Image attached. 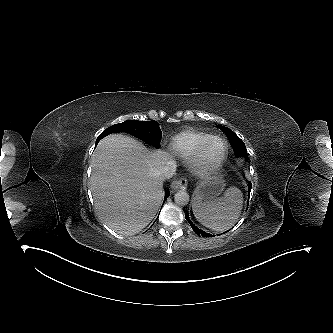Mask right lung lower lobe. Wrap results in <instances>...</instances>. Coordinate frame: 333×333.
Masks as SVG:
<instances>
[{
  "instance_id": "obj_1",
  "label": "right lung lower lobe",
  "mask_w": 333,
  "mask_h": 333,
  "mask_svg": "<svg viewBox=\"0 0 333 333\" xmlns=\"http://www.w3.org/2000/svg\"><path fill=\"white\" fill-rule=\"evenodd\" d=\"M108 134H110V133H108V132H106V131L102 132V133L98 136V138H97V140H96V145L98 144V142H99L103 137H105V136L108 135ZM96 145H95V147H96ZM169 195H170V192H169V191H166V192H165V199H164V202H165V200L169 197Z\"/></svg>"
}]
</instances>
